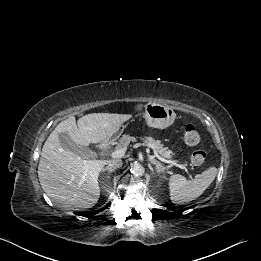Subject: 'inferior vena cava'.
Here are the masks:
<instances>
[{"label":"inferior vena cava","instance_id":"inferior-vena-cava-1","mask_svg":"<svg viewBox=\"0 0 261 261\" xmlns=\"http://www.w3.org/2000/svg\"><path fill=\"white\" fill-rule=\"evenodd\" d=\"M122 166V161L119 159L110 160L108 162V168L112 169L113 171L117 168H120Z\"/></svg>","mask_w":261,"mask_h":261}]
</instances>
